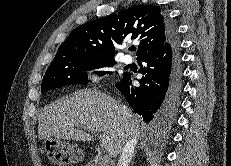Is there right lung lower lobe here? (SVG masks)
I'll return each instance as SVG.
<instances>
[{
  "label": "right lung lower lobe",
  "mask_w": 231,
  "mask_h": 166,
  "mask_svg": "<svg viewBox=\"0 0 231 166\" xmlns=\"http://www.w3.org/2000/svg\"><path fill=\"white\" fill-rule=\"evenodd\" d=\"M167 26L168 42L156 52L138 58L139 73L143 74L140 86L133 85L129 73H124L116 83L134 112L150 124L154 132L171 125L181 94L179 39L174 24L168 20Z\"/></svg>",
  "instance_id": "right-lung-lower-lobe-1"
}]
</instances>
